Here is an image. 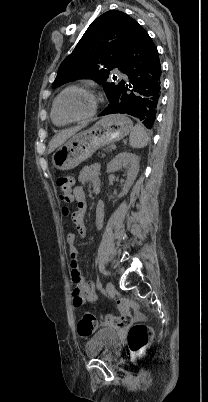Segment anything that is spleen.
Instances as JSON below:
<instances>
[{
  "label": "spleen",
  "instance_id": "obj_1",
  "mask_svg": "<svg viewBox=\"0 0 208 402\" xmlns=\"http://www.w3.org/2000/svg\"><path fill=\"white\" fill-rule=\"evenodd\" d=\"M129 142L132 148H144V146H147L149 136L141 124H136V126H134L129 136Z\"/></svg>",
  "mask_w": 208,
  "mask_h": 402
}]
</instances>
